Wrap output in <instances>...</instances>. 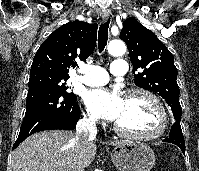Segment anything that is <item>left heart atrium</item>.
I'll return each mask as SVG.
<instances>
[{
	"instance_id": "left-heart-atrium-1",
	"label": "left heart atrium",
	"mask_w": 199,
	"mask_h": 171,
	"mask_svg": "<svg viewBox=\"0 0 199 171\" xmlns=\"http://www.w3.org/2000/svg\"><path fill=\"white\" fill-rule=\"evenodd\" d=\"M87 109L99 118L116 121L123 109L124 99L116 90L96 88L84 94Z\"/></svg>"
}]
</instances>
